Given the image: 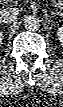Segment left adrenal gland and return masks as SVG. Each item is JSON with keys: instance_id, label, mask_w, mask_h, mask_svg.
<instances>
[{"instance_id": "1", "label": "left adrenal gland", "mask_w": 63, "mask_h": 107, "mask_svg": "<svg viewBox=\"0 0 63 107\" xmlns=\"http://www.w3.org/2000/svg\"><path fill=\"white\" fill-rule=\"evenodd\" d=\"M52 14L62 16V14L60 12H53Z\"/></svg>"}]
</instances>
